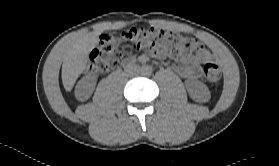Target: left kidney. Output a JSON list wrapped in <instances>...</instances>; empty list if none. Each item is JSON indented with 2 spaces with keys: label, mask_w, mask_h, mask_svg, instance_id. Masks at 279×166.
Listing matches in <instances>:
<instances>
[{
  "label": "left kidney",
  "mask_w": 279,
  "mask_h": 166,
  "mask_svg": "<svg viewBox=\"0 0 279 166\" xmlns=\"http://www.w3.org/2000/svg\"><path fill=\"white\" fill-rule=\"evenodd\" d=\"M186 89L188 91L189 96L197 102H204L210 98V91L208 87L201 81H186Z\"/></svg>",
  "instance_id": "5707ae66"
}]
</instances>
